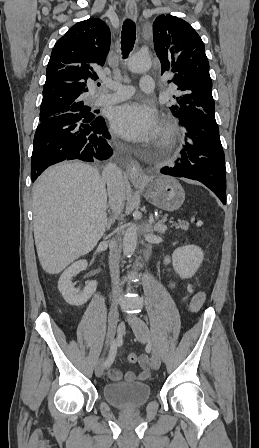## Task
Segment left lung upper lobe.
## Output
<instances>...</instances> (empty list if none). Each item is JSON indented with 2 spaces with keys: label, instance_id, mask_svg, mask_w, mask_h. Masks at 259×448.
Listing matches in <instances>:
<instances>
[{
  "label": "left lung upper lobe",
  "instance_id": "left-lung-upper-lobe-1",
  "mask_svg": "<svg viewBox=\"0 0 259 448\" xmlns=\"http://www.w3.org/2000/svg\"><path fill=\"white\" fill-rule=\"evenodd\" d=\"M154 49L161 62V74L173 72L168 81L177 86L178 103L170 107L179 117L182 112L195 108L214 113L212 80L204 43L186 21L172 15H160L153 23Z\"/></svg>",
  "mask_w": 259,
  "mask_h": 448
}]
</instances>
